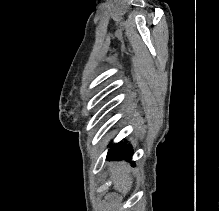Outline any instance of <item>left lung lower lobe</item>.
Instances as JSON below:
<instances>
[{
	"mask_svg": "<svg viewBox=\"0 0 219 211\" xmlns=\"http://www.w3.org/2000/svg\"><path fill=\"white\" fill-rule=\"evenodd\" d=\"M132 154L133 151L131 146L125 142H121L110 146L107 154V160H121L124 158L131 159Z\"/></svg>",
	"mask_w": 219,
	"mask_h": 211,
	"instance_id": "0a47b994",
	"label": "left lung lower lobe"
}]
</instances>
